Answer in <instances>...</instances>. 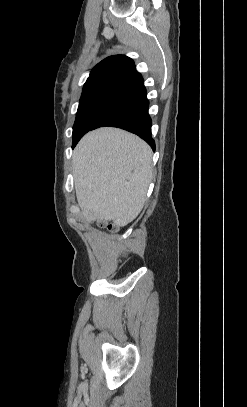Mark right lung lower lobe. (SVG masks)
<instances>
[{"instance_id": "1", "label": "right lung lower lobe", "mask_w": 247, "mask_h": 407, "mask_svg": "<svg viewBox=\"0 0 247 407\" xmlns=\"http://www.w3.org/2000/svg\"><path fill=\"white\" fill-rule=\"evenodd\" d=\"M148 107L149 101L144 89L104 116L91 130L105 126L118 127L138 135L155 150V142L151 136L152 124Z\"/></svg>"}]
</instances>
